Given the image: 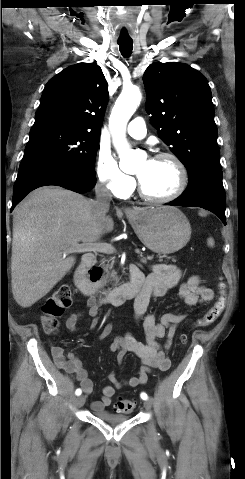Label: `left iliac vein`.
I'll return each mask as SVG.
<instances>
[{"label": "left iliac vein", "mask_w": 245, "mask_h": 479, "mask_svg": "<svg viewBox=\"0 0 245 479\" xmlns=\"http://www.w3.org/2000/svg\"><path fill=\"white\" fill-rule=\"evenodd\" d=\"M143 404H144V408H145L146 410H151V408H152V402H151L150 400H145Z\"/></svg>", "instance_id": "obj_1"}]
</instances>
